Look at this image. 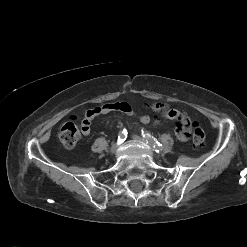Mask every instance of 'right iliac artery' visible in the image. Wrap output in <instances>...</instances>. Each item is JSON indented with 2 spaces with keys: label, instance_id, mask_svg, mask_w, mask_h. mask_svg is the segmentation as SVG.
<instances>
[{
  "label": "right iliac artery",
  "instance_id": "82829eb1",
  "mask_svg": "<svg viewBox=\"0 0 247 247\" xmlns=\"http://www.w3.org/2000/svg\"><path fill=\"white\" fill-rule=\"evenodd\" d=\"M127 138V131L125 129L121 130L118 134V144L123 143Z\"/></svg>",
  "mask_w": 247,
  "mask_h": 247
}]
</instances>
